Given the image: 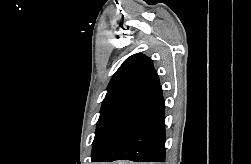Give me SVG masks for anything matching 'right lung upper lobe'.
<instances>
[{"instance_id":"1","label":"right lung upper lobe","mask_w":251,"mask_h":164,"mask_svg":"<svg viewBox=\"0 0 251 164\" xmlns=\"http://www.w3.org/2000/svg\"><path fill=\"white\" fill-rule=\"evenodd\" d=\"M159 84L153 63L147 56L137 53L128 57L113 75L107 93L135 89L144 91Z\"/></svg>"}]
</instances>
